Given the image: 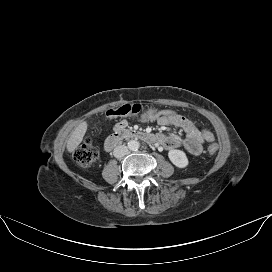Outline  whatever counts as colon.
Returning a JSON list of instances; mask_svg holds the SVG:
<instances>
[{
    "label": "colon",
    "mask_w": 272,
    "mask_h": 272,
    "mask_svg": "<svg viewBox=\"0 0 272 272\" xmlns=\"http://www.w3.org/2000/svg\"><path fill=\"white\" fill-rule=\"evenodd\" d=\"M179 115L170 109H147L143 110L140 104H124L119 107L110 109L106 112L108 118L117 117H137L143 121H157L162 117H172ZM216 144L209 145L207 151L213 155L217 152ZM98 148L90 139H85L74 151L73 157L76 163L81 167H89L98 158Z\"/></svg>",
    "instance_id": "colon-1"
}]
</instances>
